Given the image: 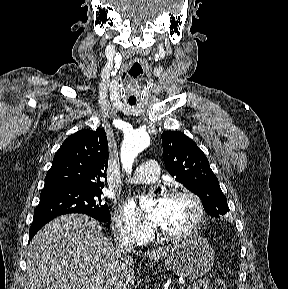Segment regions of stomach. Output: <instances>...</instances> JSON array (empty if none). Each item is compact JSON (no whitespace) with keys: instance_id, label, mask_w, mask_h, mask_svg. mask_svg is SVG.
I'll return each mask as SVG.
<instances>
[{"instance_id":"stomach-1","label":"stomach","mask_w":288,"mask_h":289,"mask_svg":"<svg viewBox=\"0 0 288 289\" xmlns=\"http://www.w3.org/2000/svg\"><path fill=\"white\" fill-rule=\"evenodd\" d=\"M214 263V251L208 241L200 236L172 246L162 264L178 276L195 279L207 273Z\"/></svg>"}]
</instances>
